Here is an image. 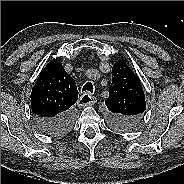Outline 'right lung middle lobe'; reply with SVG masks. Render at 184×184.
Returning <instances> with one entry per match:
<instances>
[{"label": "right lung middle lobe", "mask_w": 184, "mask_h": 184, "mask_svg": "<svg viewBox=\"0 0 184 184\" xmlns=\"http://www.w3.org/2000/svg\"><path fill=\"white\" fill-rule=\"evenodd\" d=\"M71 125L72 124H67V126L65 128H63L61 131L53 134V135H62V134H65L66 132H68L71 128Z\"/></svg>", "instance_id": "1"}]
</instances>
